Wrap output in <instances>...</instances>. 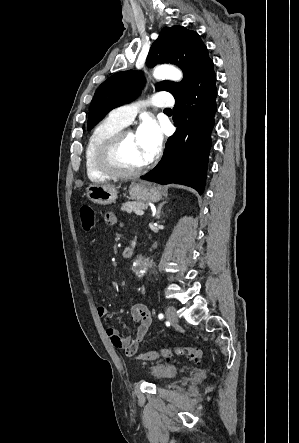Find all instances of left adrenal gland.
Returning a JSON list of instances; mask_svg holds the SVG:
<instances>
[{
  "label": "left adrenal gland",
  "mask_w": 299,
  "mask_h": 443,
  "mask_svg": "<svg viewBox=\"0 0 299 443\" xmlns=\"http://www.w3.org/2000/svg\"><path fill=\"white\" fill-rule=\"evenodd\" d=\"M167 202H163V203H161V204H159V206H158V208H157V211H156V218L157 219H160V217H161V210H162V207L164 206V204H166Z\"/></svg>",
  "instance_id": "obj_1"
}]
</instances>
